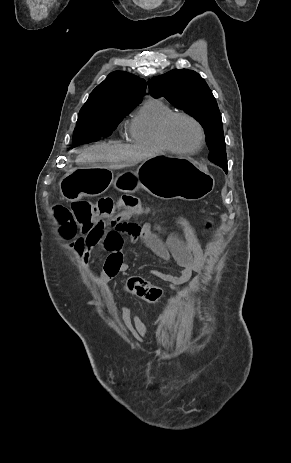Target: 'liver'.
<instances>
[{"instance_id": "6515ba94", "label": "liver", "mask_w": 291, "mask_h": 463, "mask_svg": "<svg viewBox=\"0 0 291 463\" xmlns=\"http://www.w3.org/2000/svg\"><path fill=\"white\" fill-rule=\"evenodd\" d=\"M156 149L136 145L101 143L81 151L76 162L83 167L121 169L160 155Z\"/></svg>"}]
</instances>
